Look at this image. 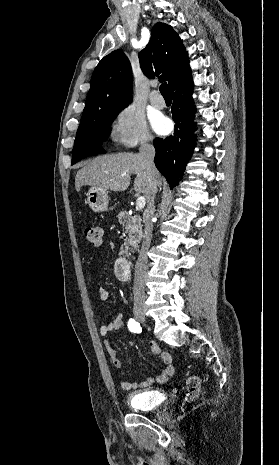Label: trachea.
I'll return each mask as SVG.
<instances>
[{"label":"trachea","mask_w":279,"mask_h":465,"mask_svg":"<svg viewBox=\"0 0 279 465\" xmlns=\"http://www.w3.org/2000/svg\"><path fill=\"white\" fill-rule=\"evenodd\" d=\"M159 89H160L161 94H162L164 97H165V96H171L170 91H169V89H168V86H167V83H166V82L162 83Z\"/></svg>","instance_id":"obj_1"}]
</instances>
